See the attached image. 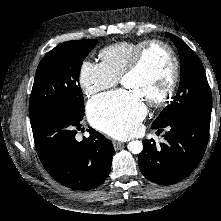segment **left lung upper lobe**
Masks as SVG:
<instances>
[{
	"instance_id": "left-lung-upper-lobe-1",
	"label": "left lung upper lobe",
	"mask_w": 221,
	"mask_h": 221,
	"mask_svg": "<svg viewBox=\"0 0 221 221\" xmlns=\"http://www.w3.org/2000/svg\"><path fill=\"white\" fill-rule=\"evenodd\" d=\"M181 60L180 86L170 105L163 109L153 125L163 127L172 120L191 113L211 115L212 95L203 65L194 51L173 34Z\"/></svg>"
}]
</instances>
